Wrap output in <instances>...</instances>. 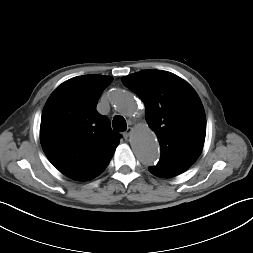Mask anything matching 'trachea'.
Instances as JSON below:
<instances>
[{"instance_id": "3493384b", "label": "trachea", "mask_w": 253, "mask_h": 253, "mask_svg": "<svg viewBox=\"0 0 253 253\" xmlns=\"http://www.w3.org/2000/svg\"><path fill=\"white\" fill-rule=\"evenodd\" d=\"M113 129L117 132H123L127 128L125 119L122 116H115L112 122Z\"/></svg>"}]
</instances>
